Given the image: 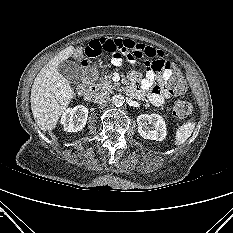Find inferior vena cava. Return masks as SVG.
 Instances as JSON below:
<instances>
[{"instance_id":"1","label":"inferior vena cava","mask_w":233,"mask_h":233,"mask_svg":"<svg viewBox=\"0 0 233 233\" xmlns=\"http://www.w3.org/2000/svg\"><path fill=\"white\" fill-rule=\"evenodd\" d=\"M110 98L109 94L106 92H100L97 93L95 96V102L97 103H103L105 101H107Z\"/></svg>"}]
</instances>
